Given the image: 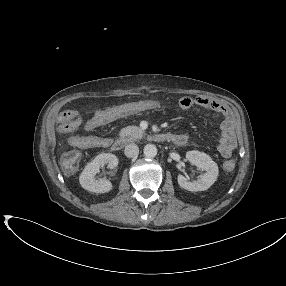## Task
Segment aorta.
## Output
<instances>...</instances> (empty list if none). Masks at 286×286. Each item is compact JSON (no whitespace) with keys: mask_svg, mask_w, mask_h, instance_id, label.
I'll return each instance as SVG.
<instances>
[{"mask_svg":"<svg viewBox=\"0 0 286 286\" xmlns=\"http://www.w3.org/2000/svg\"><path fill=\"white\" fill-rule=\"evenodd\" d=\"M144 155L147 158H154L157 155V148L153 144H147L144 147Z\"/></svg>","mask_w":286,"mask_h":286,"instance_id":"762f6f07","label":"aorta"}]
</instances>
